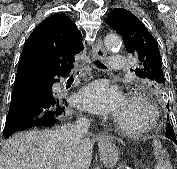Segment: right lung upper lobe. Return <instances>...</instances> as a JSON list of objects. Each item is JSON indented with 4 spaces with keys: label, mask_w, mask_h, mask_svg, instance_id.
<instances>
[{
    "label": "right lung upper lobe",
    "mask_w": 177,
    "mask_h": 169,
    "mask_svg": "<svg viewBox=\"0 0 177 169\" xmlns=\"http://www.w3.org/2000/svg\"><path fill=\"white\" fill-rule=\"evenodd\" d=\"M83 50L82 35L70 18L56 14L42 21L29 36L18 69L70 72L74 56Z\"/></svg>",
    "instance_id": "right-lung-upper-lobe-1"
}]
</instances>
